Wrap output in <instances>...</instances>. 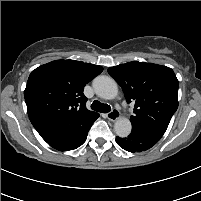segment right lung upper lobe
I'll list each match as a JSON object with an SVG mask.
<instances>
[{
	"mask_svg": "<svg viewBox=\"0 0 201 201\" xmlns=\"http://www.w3.org/2000/svg\"><path fill=\"white\" fill-rule=\"evenodd\" d=\"M103 71L101 66L56 60L33 70L24 92L28 116L44 136L81 133L99 117L86 108L84 86Z\"/></svg>",
	"mask_w": 201,
	"mask_h": 201,
	"instance_id": "right-lung-upper-lobe-1",
	"label": "right lung upper lobe"
}]
</instances>
